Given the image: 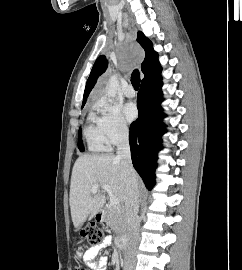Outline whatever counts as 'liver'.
I'll use <instances>...</instances> for the list:
<instances>
[{
  "label": "liver",
  "mask_w": 242,
  "mask_h": 270,
  "mask_svg": "<svg viewBox=\"0 0 242 270\" xmlns=\"http://www.w3.org/2000/svg\"><path fill=\"white\" fill-rule=\"evenodd\" d=\"M138 183V176L136 174ZM94 184H107L119 201L125 202L126 183L121 160L114 154L82 155L73 167L70 185V210L75 228L91 220L104 206L102 189L92 193Z\"/></svg>",
  "instance_id": "6515ba94"
}]
</instances>
